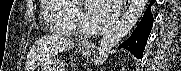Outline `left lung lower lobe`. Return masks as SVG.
I'll return each instance as SVG.
<instances>
[{
  "label": "left lung lower lobe",
  "mask_w": 181,
  "mask_h": 71,
  "mask_svg": "<svg viewBox=\"0 0 181 71\" xmlns=\"http://www.w3.org/2000/svg\"><path fill=\"white\" fill-rule=\"evenodd\" d=\"M154 2L155 0H151L148 9L136 29L131 36L120 45V47L130 50L137 58H142L148 36L152 29L153 16L151 13V6Z\"/></svg>",
  "instance_id": "left-lung-lower-lobe-1"
}]
</instances>
